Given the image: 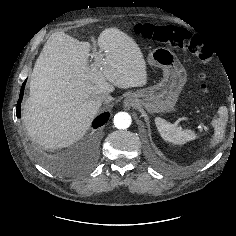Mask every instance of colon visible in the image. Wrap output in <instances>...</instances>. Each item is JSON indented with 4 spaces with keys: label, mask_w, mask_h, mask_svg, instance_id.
<instances>
[{
    "label": "colon",
    "mask_w": 236,
    "mask_h": 236,
    "mask_svg": "<svg viewBox=\"0 0 236 236\" xmlns=\"http://www.w3.org/2000/svg\"><path fill=\"white\" fill-rule=\"evenodd\" d=\"M136 33L143 37L154 40L174 48L186 49L199 57L203 64L212 60L213 52L208 44L192 34L188 30L171 25H158L153 23H139L135 27ZM201 90L208 91L205 75H200Z\"/></svg>",
    "instance_id": "obj_1"
}]
</instances>
